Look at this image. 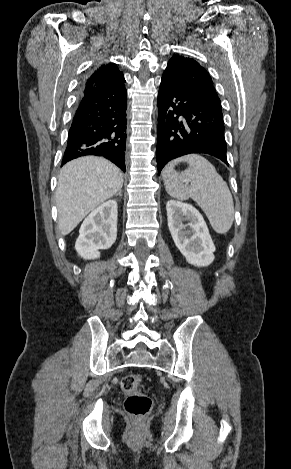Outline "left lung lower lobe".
I'll use <instances>...</instances> for the list:
<instances>
[{"instance_id":"left-lung-lower-lobe-1","label":"left lung lower lobe","mask_w":291,"mask_h":469,"mask_svg":"<svg viewBox=\"0 0 291 469\" xmlns=\"http://www.w3.org/2000/svg\"><path fill=\"white\" fill-rule=\"evenodd\" d=\"M157 168L191 154L212 155L228 165L221 103L163 75L158 92Z\"/></svg>"}]
</instances>
